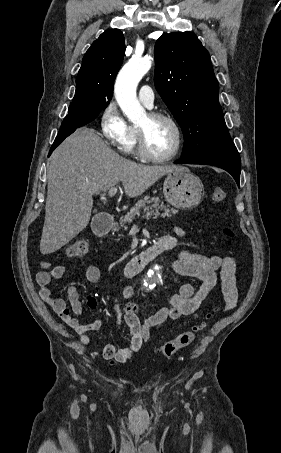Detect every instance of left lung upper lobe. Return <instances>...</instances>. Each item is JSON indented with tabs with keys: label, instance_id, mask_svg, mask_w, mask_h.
<instances>
[{
	"label": "left lung upper lobe",
	"instance_id": "left-lung-upper-lobe-1",
	"mask_svg": "<svg viewBox=\"0 0 281 453\" xmlns=\"http://www.w3.org/2000/svg\"><path fill=\"white\" fill-rule=\"evenodd\" d=\"M154 54L156 89L184 135L181 158L235 148L218 101L209 53L196 35L164 34Z\"/></svg>",
	"mask_w": 281,
	"mask_h": 453
}]
</instances>
